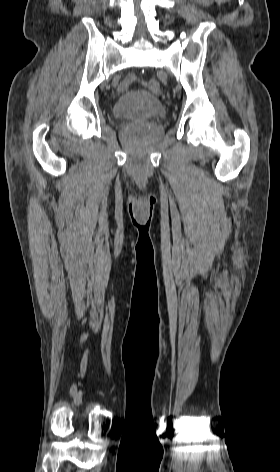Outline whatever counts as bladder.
I'll list each match as a JSON object with an SVG mask.
<instances>
[{
    "mask_svg": "<svg viewBox=\"0 0 280 472\" xmlns=\"http://www.w3.org/2000/svg\"><path fill=\"white\" fill-rule=\"evenodd\" d=\"M113 115L119 120L149 121L165 117L163 104L154 95L134 90L125 93L113 105Z\"/></svg>",
    "mask_w": 280,
    "mask_h": 472,
    "instance_id": "1",
    "label": "bladder"
}]
</instances>
